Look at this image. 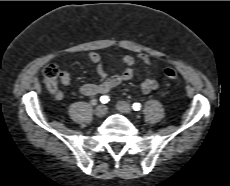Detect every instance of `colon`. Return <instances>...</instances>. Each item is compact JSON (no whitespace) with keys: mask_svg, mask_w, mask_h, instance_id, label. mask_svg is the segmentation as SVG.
<instances>
[{"mask_svg":"<svg viewBox=\"0 0 230 186\" xmlns=\"http://www.w3.org/2000/svg\"><path fill=\"white\" fill-rule=\"evenodd\" d=\"M165 76L170 80H176L178 73L172 68H166L164 70ZM58 69L56 66L50 64L43 69V83L48 91L56 92L58 86Z\"/></svg>","mask_w":230,"mask_h":186,"instance_id":"1","label":"colon"}]
</instances>
